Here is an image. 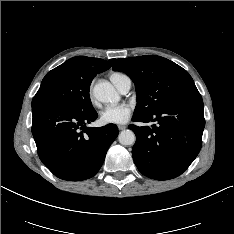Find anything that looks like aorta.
Here are the masks:
<instances>
[{"instance_id":"1","label":"aorta","mask_w":234,"mask_h":234,"mask_svg":"<svg viewBox=\"0 0 234 234\" xmlns=\"http://www.w3.org/2000/svg\"><path fill=\"white\" fill-rule=\"evenodd\" d=\"M94 96L103 103H112L118 100V94L113 85L107 81L95 84L93 88ZM119 143L124 146L133 145L135 134L131 130H123L118 136Z\"/></svg>"}]
</instances>
